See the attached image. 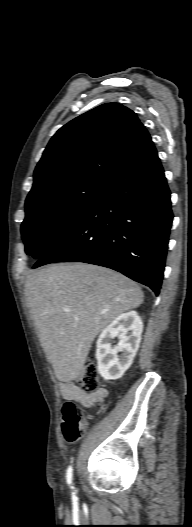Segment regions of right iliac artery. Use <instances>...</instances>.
<instances>
[{
    "instance_id": "82829eb1",
    "label": "right iliac artery",
    "mask_w": 192,
    "mask_h": 527,
    "mask_svg": "<svg viewBox=\"0 0 192 527\" xmlns=\"http://www.w3.org/2000/svg\"><path fill=\"white\" fill-rule=\"evenodd\" d=\"M72 466H69L68 470H67V474H66V478H67V483L68 484H71L72 483Z\"/></svg>"
}]
</instances>
